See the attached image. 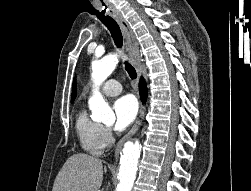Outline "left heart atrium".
Wrapping results in <instances>:
<instances>
[{
    "label": "left heart atrium",
    "mask_w": 251,
    "mask_h": 191,
    "mask_svg": "<svg viewBox=\"0 0 251 191\" xmlns=\"http://www.w3.org/2000/svg\"><path fill=\"white\" fill-rule=\"evenodd\" d=\"M115 123L117 131H123L135 120L138 113V105L134 98L124 96L115 101L113 105Z\"/></svg>",
    "instance_id": "obj_1"
}]
</instances>
